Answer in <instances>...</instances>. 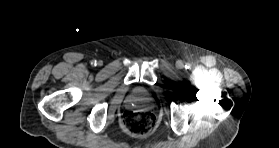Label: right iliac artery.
Segmentation results:
<instances>
[{"instance_id":"82829eb1","label":"right iliac artery","mask_w":279,"mask_h":148,"mask_svg":"<svg viewBox=\"0 0 279 148\" xmlns=\"http://www.w3.org/2000/svg\"><path fill=\"white\" fill-rule=\"evenodd\" d=\"M91 65L96 66L97 65V61L96 60H92Z\"/></svg>"}]
</instances>
